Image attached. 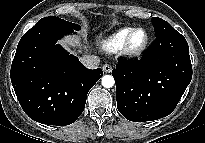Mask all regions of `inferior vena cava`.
I'll list each match as a JSON object with an SVG mask.
<instances>
[{
  "label": "inferior vena cava",
  "mask_w": 205,
  "mask_h": 143,
  "mask_svg": "<svg viewBox=\"0 0 205 143\" xmlns=\"http://www.w3.org/2000/svg\"><path fill=\"white\" fill-rule=\"evenodd\" d=\"M80 62L88 69H96L99 66L100 59L93 55H83Z\"/></svg>",
  "instance_id": "obj_1"
}]
</instances>
